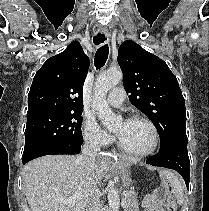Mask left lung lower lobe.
I'll use <instances>...</instances> for the list:
<instances>
[{"instance_id": "obj_1", "label": "left lung lower lobe", "mask_w": 209, "mask_h": 211, "mask_svg": "<svg viewBox=\"0 0 209 211\" xmlns=\"http://www.w3.org/2000/svg\"><path fill=\"white\" fill-rule=\"evenodd\" d=\"M147 164L176 170L183 177L189 189L190 161L187 151V140H180L169 148L159 151L146 160Z\"/></svg>"}]
</instances>
